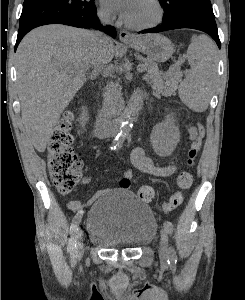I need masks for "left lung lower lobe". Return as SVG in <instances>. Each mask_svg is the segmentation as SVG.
<instances>
[{
    "label": "left lung lower lobe",
    "mask_w": 245,
    "mask_h": 300,
    "mask_svg": "<svg viewBox=\"0 0 245 300\" xmlns=\"http://www.w3.org/2000/svg\"><path fill=\"white\" fill-rule=\"evenodd\" d=\"M180 28H192L203 31L209 34L216 41L218 47L221 48L215 17L192 11L178 12L172 18L163 21L160 26L142 30L138 33H157Z\"/></svg>",
    "instance_id": "left-lung-lower-lobe-1"
}]
</instances>
